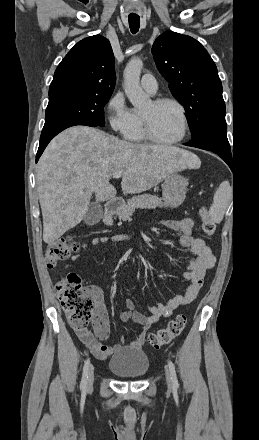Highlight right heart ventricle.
<instances>
[{
  "label": "right heart ventricle",
  "instance_id": "obj_1",
  "mask_svg": "<svg viewBox=\"0 0 259 440\" xmlns=\"http://www.w3.org/2000/svg\"><path fill=\"white\" fill-rule=\"evenodd\" d=\"M134 114V124L126 134V138L133 142H143L146 140V135L143 130V123L141 118V113L133 110Z\"/></svg>",
  "mask_w": 259,
  "mask_h": 440
}]
</instances>
